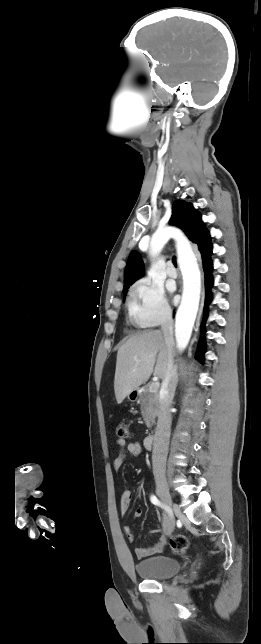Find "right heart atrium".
Returning <instances> with one entry per match:
<instances>
[{
  "instance_id": "1",
  "label": "right heart atrium",
  "mask_w": 261,
  "mask_h": 644,
  "mask_svg": "<svg viewBox=\"0 0 261 644\" xmlns=\"http://www.w3.org/2000/svg\"><path fill=\"white\" fill-rule=\"evenodd\" d=\"M131 315L142 327H153L171 319V308L163 287L145 277L131 289Z\"/></svg>"
}]
</instances>
